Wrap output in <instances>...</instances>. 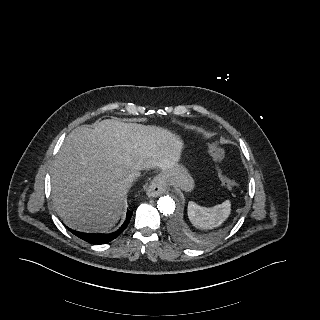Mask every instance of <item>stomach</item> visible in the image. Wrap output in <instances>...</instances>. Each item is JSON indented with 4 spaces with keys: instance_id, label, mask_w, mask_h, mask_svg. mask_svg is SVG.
Listing matches in <instances>:
<instances>
[{
    "instance_id": "stomach-1",
    "label": "stomach",
    "mask_w": 320,
    "mask_h": 320,
    "mask_svg": "<svg viewBox=\"0 0 320 320\" xmlns=\"http://www.w3.org/2000/svg\"><path fill=\"white\" fill-rule=\"evenodd\" d=\"M165 183L173 184L186 192H190L194 188V180L187 170L178 162L169 171L162 173Z\"/></svg>"
}]
</instances>
